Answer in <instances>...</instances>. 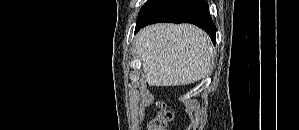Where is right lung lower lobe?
Here are the masks:
<instances>
[{
  "mask_svg": "<svg viewBox=\"0 0 299 130\" xmlns=\"http://www.w3.org/2000/svg\"><path fill=\"white\" fill-rule=\"evenodd\" d=\"M158 22L192 23L206 31L215 44L216 26L205 0H151L139 12L135 33Z\"/></svg>",
  "mask_w": 299,
  "mask_h": 130,
  "instance_id": "obj_1",
  "label": "right lung lower lobe"
}]
</instances>
